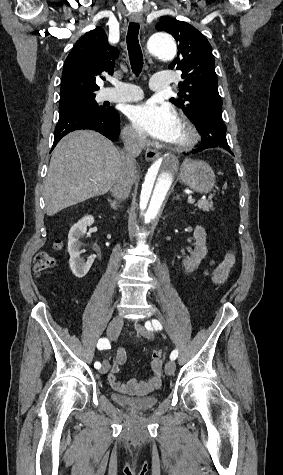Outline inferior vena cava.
<instances>
[{
    "instance_id": "inferior-vena-cava-1",
    "label": "inferior vena cava",
    "mask_w": 283,
    "mask_h": 475,
    "mask_svg": "<svg viewBox=\"0 0 283 475\" xmlns=\"http://www.w3.org/2000/svg\"><path fill=\"white\" fill-rule=\"evenodd\" d=\"M147 144L145 132H129L124 140L123 152H120L118 170L111 188L113 196L118 200L128 198L131 186L137 174L136 160Z\"/></svg>"
}]
</instances>
